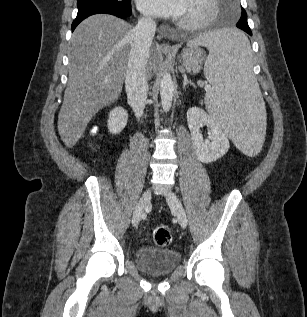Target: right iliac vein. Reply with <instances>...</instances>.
Wrapping results in <instances>:
<instances>
[{
    "label": "right iliac vein",
    "instance_id": "1",
    "mask_svg": "<svg viewBox=\"0 0 307 317\" xmlns=\"http://www.w3.org/2000/svg\"><path fill=\"white\" fill-rule=\"evenodd\" d=\"M150 200H151V192L150 190H146L135 207L133 217H132V224L134 226H137L139 224L144 210L150 204Z\"/></svg>",
    "mask_w": 307,
    "mask_h": 317
}]
</instances>
